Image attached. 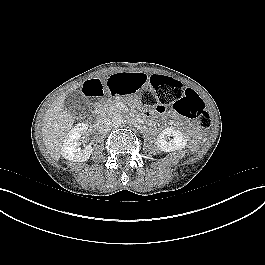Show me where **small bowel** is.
Returning <instances> with one entry per match:
<instances>
[{
	"label": "small bowel",
	"instance_id": "1",
	"mask_svg": "<svg viewBox=\"0 0 265 265\" xmlns=\"http://www.w3.org/2000/svg\"><path fill=\"white\" fill-rule=\"evenodd\" d=\"M146 81L145 75L136 71L130 72L128 75L115 74L107 78L87 81L84 85V92L88 96H100L103 92L112 94L130 93L134 88H142ZM156 113L163 118L172 116L165 109H157Z\"/></svg>",
	"mask_w": 265,
	"mask_h": 265
}]
</instances>
